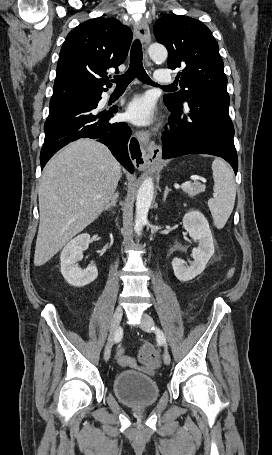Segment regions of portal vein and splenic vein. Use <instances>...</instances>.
Listing matches in <instances>:
<instances>
[{
	"label": "portal vein and splenic vein",
	"instance_id": "1",
	"mask_svg": "<svg viewBox=\"0 0 272 455\" xmlns=\"http://www.w3.org/2000/svg\"><path fill=\"white\" fill-rule=\"evenodd\" d=\"M191 186H192V184L189 183V182H187V183L182 184V185H181V188H182V189H186V188H189V187H191Z\"/></svg>",
	"mask_w": 272,
	"mask_h": 455
}]
</instances>
